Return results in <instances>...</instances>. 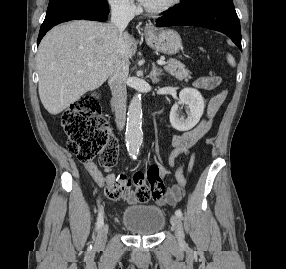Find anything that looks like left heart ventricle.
<instances>
[{
  "label": "left heart ventricle",
  "mask_w": 286,
  "mask_h": 269,
  "mask_svg": "<svg viewBox=\"0 0 286 269\" xmlns=\"http://www.w3.org/2000/svg\"><path fill=\"white\" fill-rule=\"evenodd\" d=\"M168 0H148L145 6L147 7H158L166 3Z\"/></svg>",
  "instance_id": "1"
}]
</instances>
